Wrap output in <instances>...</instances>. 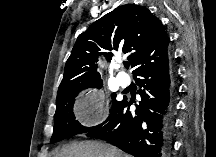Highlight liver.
Wrapping results in <instances>:
<instances>
[{
  "instance_id": "6515ba94",
  "label": "liver",
  "mask_w": 216,
  "mask_h": 157,
  "mask_svg": "<svg viewBox=\"0 0 216 157\" xmlns=\"http://www.w3.org/2000/svg\"><path fill=\"white\" fill-rule=\"evenodd\" d=\"M55 157H128L112 145L98 141L72 143L63 147Z\"/></svg>"
}]
</instances>
